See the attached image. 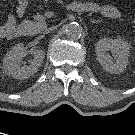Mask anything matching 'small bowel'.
Returning a JSON list of instances; mask_svg holds the SVG:
<instances>
[{
    "label": "small bowel",
    "instance_id": "c3829d8e",
    "mask_svg": "<svg viewBox=\"0 0 135 135\" xmlns=\"http://www.w3.org/2000/svg\"><path fill=\"white\" fill-rule=\"evenodd\" d=\"M5 1V0H4ZM26 0H17L16 15L21 17L26 11ZM87 10H98L103 16L116 19L120 16L119 10L110 4L88 3L80 6ZM17 22L14 14H9L7 21L0 25V38H12L17 34Z\"/></svg>",
    "mask_w": 135,
    "mask_h": 135
}]
</instances>
